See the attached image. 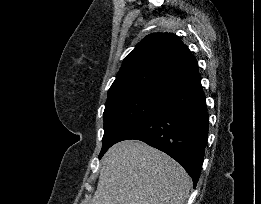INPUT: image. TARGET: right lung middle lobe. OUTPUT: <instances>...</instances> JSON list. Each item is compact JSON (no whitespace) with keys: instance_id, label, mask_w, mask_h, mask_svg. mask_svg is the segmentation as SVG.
Listing matches in <instances>:
<instances>
[{"instance_id":"right-lung-middle-lobe-1","label":"right lung middle lobe","mask_w":261,"mask_h":204,"mask_svg":"<svg viewBox=\"0 0 261 204\" xmlns=\"http://www.w3.org/2000/svg\"><path fill=\"white\" fill-rule=\"evenodd\" d=\"M167 93L151 90L128 91L108 96L104 110V136L99 158L129 128L158 105Z\"/></svg>"}]
</instances>
